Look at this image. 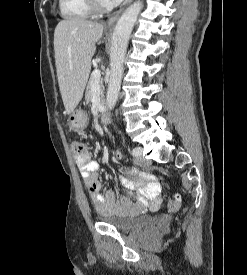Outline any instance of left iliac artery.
Listing matches in <instances>:
<instances>
[{
	"mask_svg": "<svg viewBox=\"0 0 247 275\" xmlns=\"http://www.w3.org/2000/svg\"><path fill=\"white\" fill-rule=\"evenodd\" d=\"M132 154H133L134 156L137 155V150H136L135 148L132 150Z\"/></svg>",
	"mask_w": 247,
	"mask_h": 275,
	"instance_id": "obj_1",
	"label": "left iliac artery"
}]
</instances>
